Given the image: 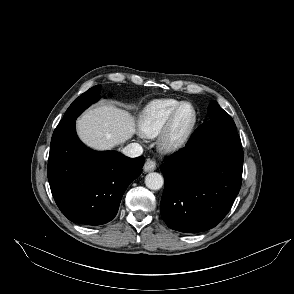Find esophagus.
I'll use <instances>...</instances> for the list:
<instances>
[{
    "label": "esophagus",
    "mask_w": 294,
    "mask_h": 294,
    "mask_svg": "<svg viewBox=\"0 0 294 294\" xmlns=\"http://www.w3.org/2000/svg\"><path fill=\"white\" fill-rule=\"evenodd\" d=\"M155 169H156V162L151 159H147V161L144 164L143 170L145 172H151V171H154Z\"/></svg>",
    "instance_id": "obj_1"
}]
</instances>
